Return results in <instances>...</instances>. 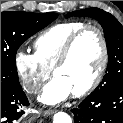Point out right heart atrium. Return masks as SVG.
Here are the masks:
<instances>
[{
    "label": "right heart atrium",
    "instance_id": "right-heart-atrium-1",
    "mask_svg": "<svg viewBox=\"0 0 123 123\" xmlns=\"http://www.w3.org/2000/svg\"><path fill=\"white\" fill-rule=\"evenodd\" d=\"M14 65L17 75L28 93H37L50 77V69L46 68L35 54L27 51L18 50L15 53Z\"/></svg>",
    "mask_w": 123,
    "mask_h": 123
}]
</instances>
